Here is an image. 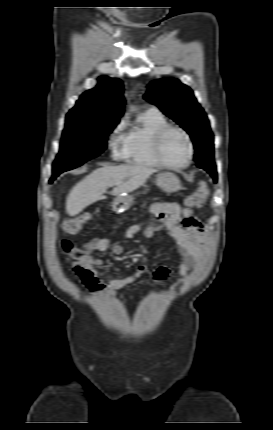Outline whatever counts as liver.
I'll return each instance as SVG.
<instances>
[{
	"label": "liver",
	"instance_id": "1",
	"mask_svg": "<svg viewBox=\"0 0 273 430\" xmlns=\"http://www.w3.org/2000/svg\"><path fill=\"white\" fill-rule=\"evenodd\" d=\"M156 170L143 165H104L84 177L69 192L66 211L70 216L79 214L85 207L103 200L109 187L113 195L129 193L143 185Z\"/></svg>",
	"mask_w": 273,
	"mask_h": 430
}]
</instances>
